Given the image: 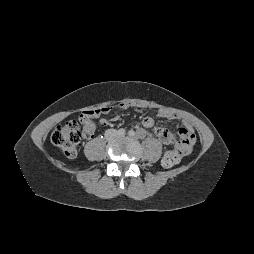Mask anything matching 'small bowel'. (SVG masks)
Masks as SVG:
<instances>
[{
	"label": "small bowel",
	"mask_w": 254,
	"mask_h": 254,
	"mask_svg": "<svg viewBox=\"0 0 254 254\" xmlns=\"http://www.w3.org/2000/svg\"><path fill=\"white\" fill-rule=\"evenodd\" d=\"M130 107H131V105L128 103L120 104V108H123V109H127ZM102 110L103 111H101L100 113H97L95 116H93V118H97L102 114H107L110 111V108H102ZM158 115L162 118L169 119V120L178 118L177 114H175L171 111L165 110V109L159 110ZM113 120H117V118L115 117ZM108 124H109L108 120H106V119L100 120L101 126H106ZM142 125L148 129L154 128L156 136L163 144L168 145V144H172L175 142L174 134L166 128L155 127V121L153 118L145 117L142 121ZM177 132L180 136V139L175 142V149H176V151H178L180 153L181 156H187L191 153L192 148H193V144H194V140H195L194 131L189 124L183 123L177 127ZM166 154H167V152L165 153L164 157L166 156ZM164 157H163V159H164ZM163 165L165 167H172V166H168V165L164 164V162H163Z\"/></svg>",
	"instance_id": "1"
}]
</instances>
